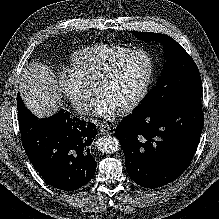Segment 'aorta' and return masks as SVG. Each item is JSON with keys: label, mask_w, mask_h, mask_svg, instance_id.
Here are the masks:
<instances>
[{"label": "aorta", "mask_w": 219, "mask_h": 219, "mask_svg": "<svg viewBox=\"0 0 219 219\" xmlns=\"http://www.w3.org/2000/svg\"><path fill=\"white\" fill-rule=\"evenodd\" d=\"M96 146L101 152L108 154L115 153L120 149L119 140L110 135L99 137Z\"/></svg>", "instance_id": "1"}]
</instances>
